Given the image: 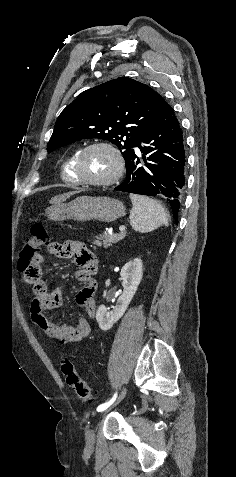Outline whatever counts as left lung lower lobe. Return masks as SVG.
Masks as SVG:
<instances>
[{"instance_id": "1", "label": "left lung lower lobe", "mask_w": 236, "mask_h": 477, "mask_svg": "<svg viewBox=\"0 0 236 477\" xmlns=\"http://www.w3.org/2000/svg\"><path fill=\"white\" fill-rule=\"evenodd\" d=\"M126 164V179L115 190L154 196L167 201L177 223L186 176L183 136L172 107L162 99L160 112Z\"/></svg>"}]
</instances>
